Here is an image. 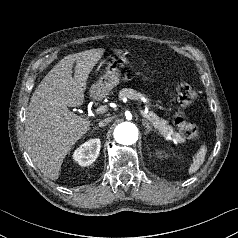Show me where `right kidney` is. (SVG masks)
I'll return each instance as SVG.
<instances>
[{
    "mask_svg": "<svg viewBox=\"0 0 238 238\" xmlns=\"http://www.w3.org/2000/svg\"><path fill=\"white\" fill-rule=\"evenodd\" d=\"M100 148V139H91L75 150L73 159L81 166H89L99 156Z\"/></svg>",
    "mask_w": 238,
    "mask_h": 238,
    "instance_id": "1",
    "label": "right kidney"
}]
</instances>
